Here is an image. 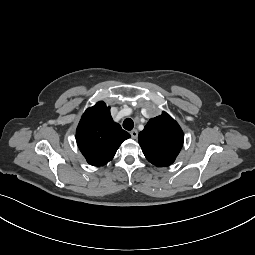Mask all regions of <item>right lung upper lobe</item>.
<instances>
[{"label": "right lung upper lobe", "instance_id": "1", "mask_svg": "<svg viewBox=\"0 0 255 255\" xmlns=\"http://www.w3.org/2000/svg\"><path fill=\"white\" fill-rule=\"evenodd\" d=\"M128 138L130 134L112 120L110 107L102 101L85 111L76 130L78 147L93 166L107 164Z\"/></svg>", "mask_w": 255, "mask_h": 255}]
</instances>
